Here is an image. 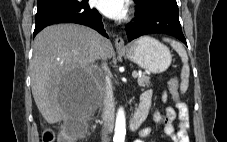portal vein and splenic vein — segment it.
Wrapping results in <instances>:
<instances>
[{
  "instance_id": "1",
  "label": "portal vein and splenic vein",
  "mask_w": 227,
  "mask_h": 142,
  "mask_svg": "<svg viewBox=\"0 0 227 142\" xmlns=\"http://www.w3.org/2000/svg\"><path fill=\"white\" fill-rule=\"evenodd\" d=\"M132 77H133V78H137V77H138V73H137V72H133V73H132Z\"/></svg>"
}]
</instances>
